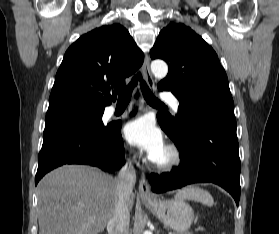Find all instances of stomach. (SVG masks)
Instances as JSON below:
<instances>
[{
    "mask_svg": "<svg viewBox=\"0 0 279 234\" xmlns=\"http://www.w3.org/2000/svg\"><path fill=\"white\" fill-rule=\"evenodd\" d=\"M153 214L177 234H184L194 219L192 208L182 199L144 201Z\"/></svg>",
    "mask_w": 279,
    "mask_h": 234,
    "instance_id": "0dacf381",
    "label": "stomach"
}]
</instances>
